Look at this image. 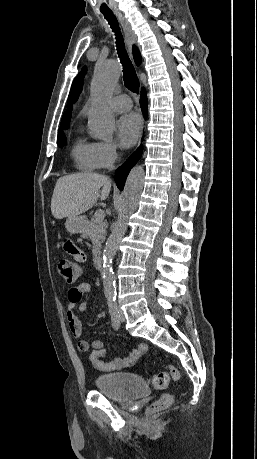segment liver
<instances>
[{"instance_id": "1", "label": "liver", "mask_w": 257, "mask_h": 459, "mask_svg": "<svg viewBox=\"0 0 257 459\" xmlns=\"http://www.w3.org/2000/svg\"><path fill=\"white\" fill-rule=\"evenodd\" d=\"M110 190V180L101 174L84 172L63 176L57 180L52 195V215L56 219L79 216L99 198L105 200Z\"/></svg>"}]
</instances>
